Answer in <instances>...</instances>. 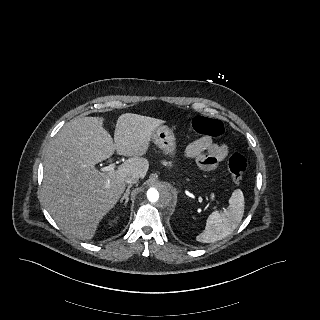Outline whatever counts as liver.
<instances>
[{"instance_id": "obj_1", "label": "liver", "mask_w": 320, "mask_h": 320, "mask_svg": "<svg viewBox=\"0 0 320 320\" xmlns=\"http://www.w3.org/2000/svg\"><path fill=\"white\" fill-rule=\"evenodd\" d=\"M103 122V117H82L66 123L44 160V204L62 230L83 240L94 237L123 194L126 178L146 176L149 162L143 155L153 131L165 121L124 113L118 117L114 142ZM115 151L130 158L110 172L95 168Z\"/></svg>"}]
</instances>
